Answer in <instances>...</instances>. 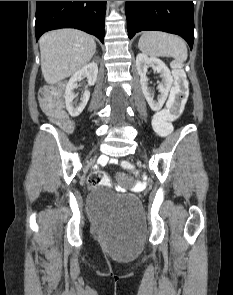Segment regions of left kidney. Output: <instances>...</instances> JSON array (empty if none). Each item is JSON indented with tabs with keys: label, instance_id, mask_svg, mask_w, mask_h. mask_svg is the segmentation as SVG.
<instances>
[{
	"label": "left kidney",
	"instance_id": "obj_1",
	"mask_svg": "<svg viewBox=\"0 0 233 295\" xmlns=\"http://www.w3.org/2000/svg\"><path fill=\"white\" fill-rule=\"evenodd\" d=\"M148 66L162 76V81L158 85L160 95H158L157 100H154V95L148 88V78L146 76ZM136 68L140 76V84L145 99L153 111H159L163 107L173 83L169 68L162 60L156 57H148L142 53H139L136 57Z\"/></svg>",
	"mask_w": 233,
	"mask_h": 295
}]
</instances>
